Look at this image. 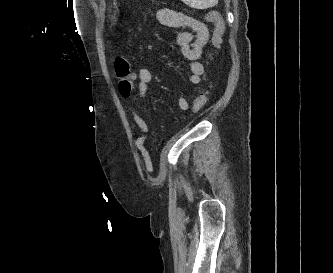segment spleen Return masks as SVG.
Segmentation results:
<instances>
[{"instance_id":"spleen-1","label":"spleen","mask_w":333,"mask_h":273,"mask_svg":"<svg viewBox=\"0 0 333 273\" xmlns=\"http://www.w3.org/2000/svg\"><path fill=\"white\" fill-rule=\"evenodd\" d=\"M219 0H182L185 4L196 9H207L217 5Z\"/></svg>"}]
</instances>
